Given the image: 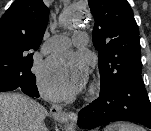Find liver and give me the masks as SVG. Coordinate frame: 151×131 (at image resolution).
<instances>
[{
	"mask_svg": "<svg viewBox=\"0 0 151 131\" xmlns=\"http://www.w3.org/2000/svg\"><path fill=\"white\" fill-rule=\"evenodd\" d=\"M47 110L19 93H0V131H46Z\"/></svg>",
	"mask_w": 151,
	"mask_h": 131,
	"instance_id": "6515ba94",
	"label": "liver"
}]
</instances>
